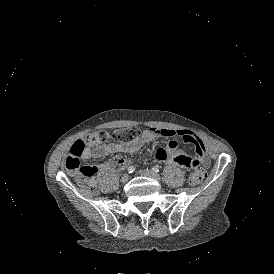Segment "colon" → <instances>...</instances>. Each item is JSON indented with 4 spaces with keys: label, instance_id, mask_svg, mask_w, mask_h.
Masks as SVG:
<instances>
[{
    "label": "colon",
    "instance_id": "5ec220e1",
    "mask_svg": "<svg viewBox=\"0 0 274 274\" xmlns=\"http://www.w3.org/2000/svg\"><path fill=\"white\" fill-rule=\"evenodd\" d=\"M138 130L130 127L119 129L115 132V138L119 142L129 143L137 138ZM89 142L103 143L106 141V133L104 131L97 132L90 136ZM86 141H82L81 146H72L70 154L64 160V167L71 173L75 174L79 180H85L97 175L100 167L96 165H84L81 162V155L84 151ZM206 172L203 169L190 170L188 181L192 187H196L206 179Z\"/></svg>",
    "mask_w": 274,
    "mask_h": 274
}]
</instances>
